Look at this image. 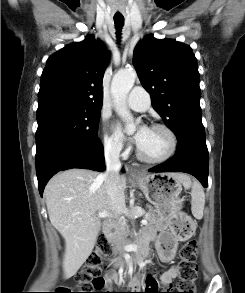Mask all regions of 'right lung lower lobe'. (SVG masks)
<instances>
[{
	"mask_svg": "<svg viewBox=\"0 0 245 293\" xmlns=\"http://www.w3.org/2000/svg\"><path fill=\"white\" fill-rule=\"evenodd\" d=\"M82 168L104 171V152L102 145H65L59 147L36 163V172L40 195H43L49 179L59 171Z\"/></svg>",
	"mask_w": 245,
	"mask_h": 293,
	"instance_id": "obj_1",
	"label": "right lung lower lobe"
}]
</instances>
